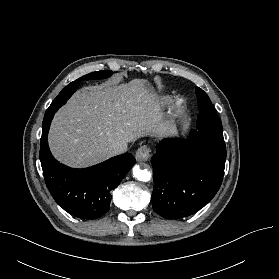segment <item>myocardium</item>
<instances>
[{
    "mask_svg": "<svg viewBox=\"0 0 279 279\" xmlns=\"http://www.w3.org/2000/svg\"><path fill=\"white\" fill-rule=\"evenodd\" d=\"M184 108H185V105H184L183 100L177 99L172 103L171 114L173 116H178L183 112Z\"/></svg>",
    "mask_w": 279,
    "mask_h": 279,
    "instance_id": "obj_1",
    "label": "myocardium"
}]
</instances>
